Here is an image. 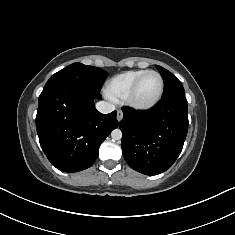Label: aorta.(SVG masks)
<instances>
[{
  "label": "aorta",
  "instance_id": "762f6f07",
  "mask_svg": "<svg viewBox=\"0 0 235 235\" xmlns=\"http://www.w3.org/2000/svg\"><path fill=\"white\" fill-rule=\"evenodd\" d=\"M111 136L114 140H120L122 138V132L120 129H114Z\"/></svg>",
  "mask_w": 235,
  "mask_h": 235
}]
</instances>
